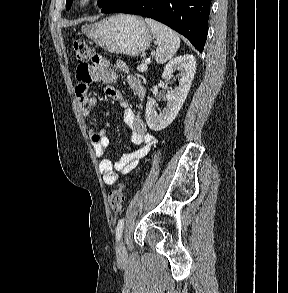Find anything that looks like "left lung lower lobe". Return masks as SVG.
Here are the masks:
<instances>
[{
  "instance_id": "1",
  "label": "left lung lower lobe",
  "mask_w": 288,
  "mask_h": 293,
  "mask_svg": "<svg viewBox=\"0 0 288 293\" xmlns=\"http://www.w3.org/2000/svg\"><path fill=\"white\" fill-rule=\"evenodd\" d=\"M211 0H115L102 13H128L155 19L185 36L200 52L207 39Z\"/></svg>"
}]
</instances>
